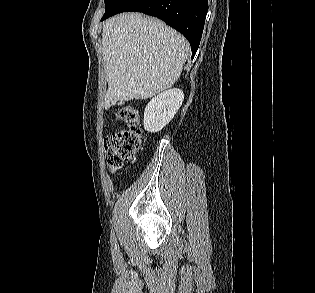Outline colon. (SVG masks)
Wrapping results in <instances>:
<instances>
[{
  "label": "colon",
  "mask_w": 315,
  "mask_h": 293,
  "mask_svg": "<svg viewBox=\"0 0 315 293\" xmlns=\"http://www.w3.org/2000/svg\"><path fill=\"white\" fill-rule=\"evenodd\" d=\"M114 117L125 123L127 128L105 139L106 159L112 171L133 160L141 150L144 140L137 109L130 106L120 108L114 112Z\"/></svg>",
  "instance_id": "5ec220e1"
}]
</instances>
